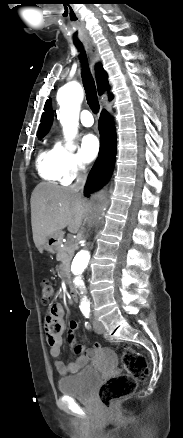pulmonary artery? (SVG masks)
<instances>
[{
    "mask_svg": "<svg viewBox=\"0 0 183 438\" xmlns=\"http://www.w3.org/2000/svg\"><path fill=\"white\" fill-rule=\"evenodd\" d=\"M81 123L86 127H90L93 125L94 120L91 111L85 109L81 112Z\"/></svg>",
    "mask_w": 183,
    "mask_h": 438,
    "instance_id": "1",
    "label": "pulmonary artery"
}]
</instances>
